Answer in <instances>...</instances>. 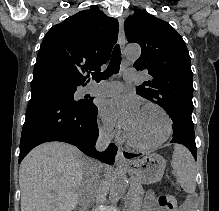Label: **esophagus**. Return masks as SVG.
<instances>
[{
	"label": "esophagus",
	"instance_id": "1",
	"mask_svg": "<svg viewBox=\"0 0 219 211\" xmlns=\"http://www.w3.org/2000/svg\"><path fill=\"white\" fill-rule=\"evenodd\" d=\"M119 22V43L121 47V51L124 55V49H125V34H124V20L123 18L118 19ZM116 164H126L128 163L127 160L124 157L123 151L121 148L118 149L117 155L115 158Z\"/></svg>",
	"mask_w": 219,
	"mask_h": 211
}]
</instances>
